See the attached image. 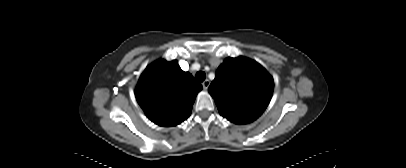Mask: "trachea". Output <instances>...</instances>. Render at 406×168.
Instances as JSON below:
<instances>
[{
  "label": "trachea",
  "mask_w": 406,
  "mask_h": 168,
  "mask_svg": "<svg viewBox=\"0 0 406 168\" xmlns=\"http://www.w3.org/2000/svg\"><path fill=\"white\" fill-rule=\"evenodd\" d=\"M195 78H196L197 81L203 82L205 80V78H206V74L203 71H198L196 73V75H195Z\"/></svg>",
  "instance_id": "3493384b"
}]
</instances>
